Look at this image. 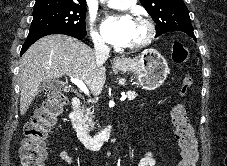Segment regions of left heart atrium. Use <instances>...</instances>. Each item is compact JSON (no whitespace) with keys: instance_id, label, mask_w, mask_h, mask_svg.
<instances>
[{"instance_id":"obj_1","label":"left heart atrium","mask_w":227,"mask_h":166,"mask_svg":"<svg viewBox=\"0 0 227 166\" xmlns=\"http://www.w3.org/2000/svg\"><path fill=\"white\" fill-rule=\"evenodd\" d=\"M133 23L128 16L108 17L103 21L102 31L109 42L126 44L131 38Z\"/></svg>"}]
</instances>
